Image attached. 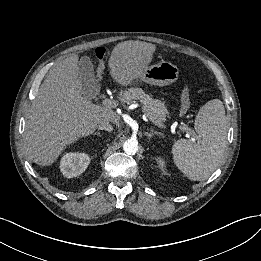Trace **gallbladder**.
Segmentation results:
<instances>
[{"instance_id":"1","label":"gallbladder","mask_w":261,"mask_h":261,"mask_svg":"<svg viewBox=\"0 0 261 261\" xmlns=\"http://www.w3.org/2000/svg\"><path fill=\"white\" fill-rule=\"evenodd\" d=\"M78 76L82 82V93L87 98L96 96L99 90V83L95 77L91 60L88 57H82L78 61Z\"/></svg>"}]
</instances>
